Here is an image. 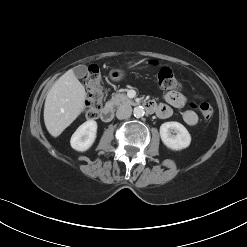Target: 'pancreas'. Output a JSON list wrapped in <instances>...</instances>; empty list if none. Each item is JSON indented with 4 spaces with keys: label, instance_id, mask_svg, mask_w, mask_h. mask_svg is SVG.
Wrapping results in <instances>:
<instances>
[{
    "label": "pancreas",
    "instance_id": "pancreas-1",
    "mask_svg": "<svg viewBox=\"0 0 247 247\" xmlns=\"http://www.w3.org/2000/svg\"><path fill=\"white\" fill-rule=\"evenodd\" d=\"M111 103L115 106H120L123 104H128V105L134 104V102L131 99H129L127 95L124 93H116L114 96H112Z\"/></svg>",
    "mask_w": 247,
    "mask_h": 247
}]
</instances>
